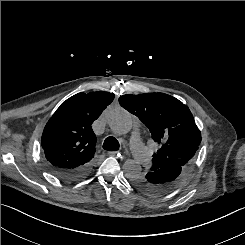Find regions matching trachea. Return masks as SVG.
<instances>
[{"label": "trachea", "instance_id": "trachea-1", "mask_svg": "<svg viewBox=\"0 0 245 245\" xmlns=\"http://www.w3.org/2000/svg\"><path fill=\"white\" fill-rule=\"evenodd\" d=\"M103 148L107 151H117L119 150V142L115 137L109 136L105 139Z\"/></svg>", "mask_w": 245, "mask_h": 245}]
</instances>
